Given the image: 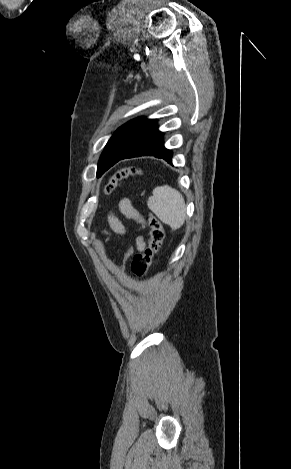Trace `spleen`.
<instances>
[{
  "mask_svg": "<svg viewBox=\"0 0 291 469\" xmlns=\"http://www.w3.org/2000/svg\"><path fill=\"white\" fill-rule=\"evenodd\" d=\"M149 209L173 230L179 229L186 219V205L183 196L174 188L164 185L156 187L149 197Z\"/></svg>",
  "mask_w": 291,
  "mask_h": 469,
  "instance_id": "1",
  "label": "spleen"
}]
</instances>
